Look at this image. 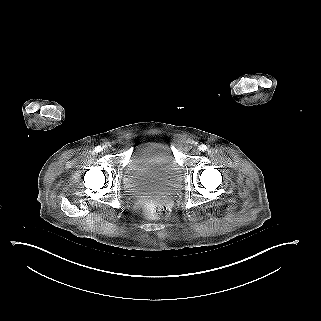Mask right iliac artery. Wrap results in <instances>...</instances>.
Listing matches in <instances>:
<instances>
[{
  "label": "right iliac artery",
  "instance_id": "1",
  "mask_svg": "<svg viewBox=\"0 0 321 321\" xmlns=\"http://www.w3.org/2000/svg\"><path fill=\"white\" fill-rule=\"evenodd\" d=\"M95 151L98 153V152H101L102 151V147L101 146H97L95 147Z\"/></svg>",
  "mask_w": 321,
  "mask_h": 321
}]
</instances>
